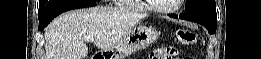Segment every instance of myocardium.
<instances>
[{
  "mask_svg": "<svg viewBox=\"0 0 261 59\" xmlns=\"http://www.w3.org/2000/svg\"><path fill=\"white\" fill-rule=\"evenodd\" d=\"M182 2H183V0H177V4L171 8L158 7V6L154 5V3L151 1H145V4H146V7L151 11H154V12L160 13V14H168V13H173V12L177 11L181 7Z\"/></svg>",
  "mask_w": 261,
  "mask_h": 59,
  "instance_id": "obj_1",
  "label": "myocardium"
}]
</instances>
